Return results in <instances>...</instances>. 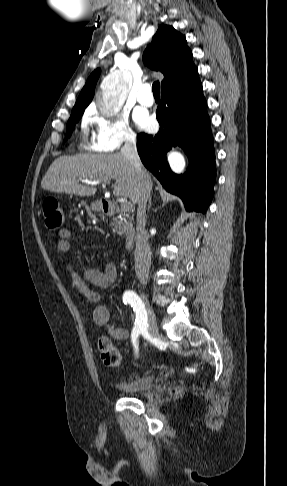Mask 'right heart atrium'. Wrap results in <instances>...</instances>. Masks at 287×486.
<instances>
[{
    "instance_id": "1",
    "label": "right heart atrium",
    "mask_w": 287,
    "mask_h": 486,
    "mask_svg": "<svg viewBox=\"0 0 287 486\" xmlns=\"http://www.w3.org/2000/svg\"><path fill=\"white\" fill-rule=\"evenodd\" d=\"M89 134L86 149L95 152H114L124 145L135 143L136 137L124 115L107 116L96 108L86 111L82 119Z\"/></svg>"
}]
</instances>
